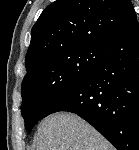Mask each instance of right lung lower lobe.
Instances as JSON below:
<instances>
[{
	"mask_svg": "<svg viewBox=\"0 0 139 150\" xmlns=\"http://www.w3.org/2000/svg\"><path fill=\"white\" fill-rule=\"evenodd\" d=\"M72 112L90 123L117 150H139V23L116 36L75 86L61 95L43 118Z\"/></svg>",
	"mask_w": 139,
	"mask_h": 150,
	"instance_id": "right-lung-lower-lobe-1",
	"label": "right lung lower lobe"
}]
</instances>
